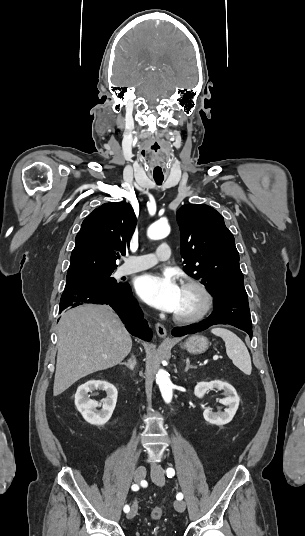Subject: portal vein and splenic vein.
Returning <instances> with one entry per match:
<instances>
[{
    "label": "portal vein and splenic vein",
    "mask_w": 305,
    "mask_h": 536,
    "mask_svg": "<svg viewBox=\"0 0 305 536\" xmlns=\"http://www.w3.org/2000/svg\"><path fill=\"white\" fill-rule=\"evenodd\" d=\"M219 356H213V360H218Z\"/></svg>",
    "instance_id": "1"
}]
</instances>
